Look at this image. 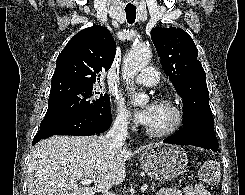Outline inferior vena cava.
<instances>
[{"mask_svg": "<svg viewBox=\"0 0 245 195\" xmlns=\"http://www.w3.org/2000/svg\"><path fill=\"white\" fill-rule=\"evenodd\" d=\"M128 119L125 116L117 117L106 138L113 146H123L127 137Z\"/></svg>", "mask_w": 245, "mask_h": 195, "instance_id": "1", "label": "inferior vena cava"}]
</instances>
